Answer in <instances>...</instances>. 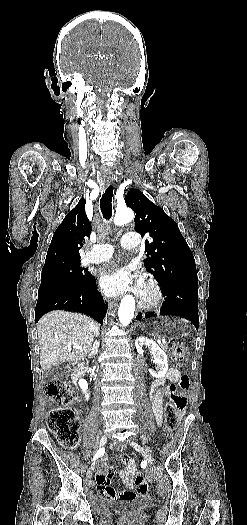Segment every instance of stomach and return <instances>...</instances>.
<instances>
[{"label":"stomach","instance_id":"stomach-1","mask_svg":"<svg viewBox=\"0 0 247 525\" xmlns=\"http://www.w3.org/2000/svg\"><path fill=\"white\" fill-rule=\"evenodd\" d=\"M140 327L153 337L174 340L186 335L188 324L176 318H160L142 322Z\"/></svg>","mask_w":247,"mask_h":525}]
</instances>
